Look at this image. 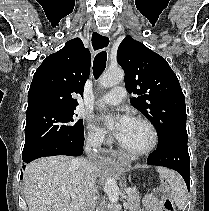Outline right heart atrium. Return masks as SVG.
Masks as SVG:
<instances>
[{
  "label": "right heart atrium",
  "instance_id": "right-heart-atrium-1",
  "mask_svg": "<svg viewBox=\"0 0 209 211\" xmlns=\"http://www.w3.org/2000/svg\"><path fill=\"white\" fill-rule=\"evenodd\" d=\"M87 130V141L91 145H100L107 141L105 134L93 125H88Z\"/></svg>",
  "mask_w": 209,
  "mask_h": 211
}]
</instances>
